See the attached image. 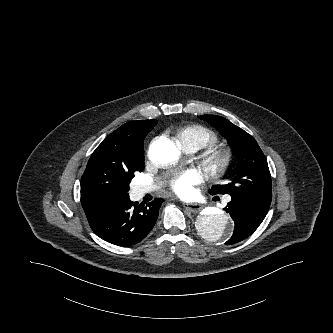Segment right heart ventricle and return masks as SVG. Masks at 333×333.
Returning <instances> with one entry per match:
<instances>
[{"label": "right heart ventricle", "instance_id": "right-heart-ventricle-1", "mask_svg": "<svg viewBox=\"0 0 333 333\" xmlns=\"http://www.w3.org/2000/svg\"><path fill=\"white\" fill-rule=\"evenodd\" d=\"M176 137L180 144L190 143L197 148L211 147L218 142V136L214 131L198 125L179 128Z\"/></svg>", "mask_w": 333, "mask_h": 333}]
</instances>
